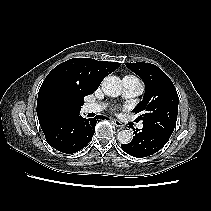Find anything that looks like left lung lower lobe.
Listing matches in <instances>:
<instances>
[{
	"label": "left lung lower lobe",
	"instance_id": "0a47b994",
	"mask_svg": "<svg viewBox=\"0 0 211 211\" xmlns=\"http://www.w3.org/2000/svg\"><path fill=\"white\" fill-rule=\"evenodd\" d=\"M134 137L128 144H121V148L129 155L134 157H147L158 152L168 139L159 134L142 128L134 131Z\"/></svg>",
	"mask_w": 211,
	"mask_h": 211
}]
</instances>
